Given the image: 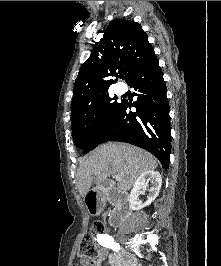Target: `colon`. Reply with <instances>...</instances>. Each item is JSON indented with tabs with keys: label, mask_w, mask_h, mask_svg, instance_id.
Instances as JSON below:
<instances>
[{
	"label": "colon",
	"mask_w": 221,
	"mask_h": 266,
	"mask_svg": "<svg viewBox=\"0 0 221 266\" xmlns=\"http://www.w3.org/2000/svg\"><path fill=\"white\" fill-rule=\"evenodd\" d=\"M93 230L96 233H101L105 230V226L102 221L97 220L93 224ZM78 256L81 261H93L97 257V249L94 243L93 235L86 234L82 237L79 248Z\"/></svg>",
	"instance_id": "5ec220e1"
}]
</instances>
